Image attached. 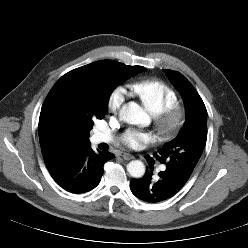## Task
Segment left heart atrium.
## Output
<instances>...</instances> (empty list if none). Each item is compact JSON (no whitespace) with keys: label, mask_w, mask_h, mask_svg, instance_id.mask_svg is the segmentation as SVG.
I'll return each mask as SVG.
<instances>
[{"label":"left heart atrium","mask_w":248,"mask_h":248,"mask_svg":"<svg viewBox=\"0 0 248 248\" xmlns=\"http://www.w3.org/2000/svg\"><path fill=\"white\" fill-rule=\"evenodd\" d=\"M121 140L126 146L132 149H139L144 144L152 142L154 137L149 133L141 132L135 129H129L123 133Z\"/></svg>","instance_id":"1"}]
</instances>
